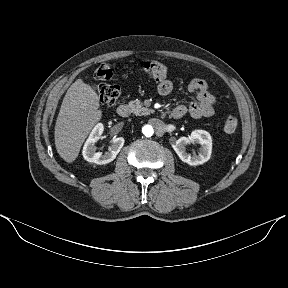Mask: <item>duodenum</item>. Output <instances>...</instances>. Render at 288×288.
<instances>
[{"mask_svg": "<svg viewBox=\"0 0 288 288\" xmlns=\"http://www.w3.org/2000/svg\"><path fill=\"white\" fill-rule=\"evenodd\" d=\"M117 113L121 116V117H128L130 115V107L127 104H121L119 105V107L117 108ZM173 116V113H171Z\"/></svg>", "mask_w": 288, "mask_h": 288, "instance_id": "duodenum-1", "label": "duodenum"}]
</instances>
